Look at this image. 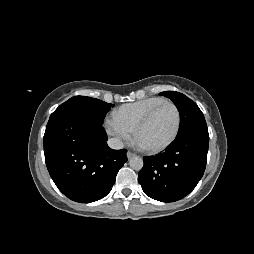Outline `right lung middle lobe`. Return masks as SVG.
Here are the masks:
<instances>
[{
  "mask_svg": "<svg viewBox=\"0 0 254 254\" xmlns=\"http://www.w3.org/2000/svg\"><path fill=\"white\" fill-rule=\"evenodd\" d=\"M113 106V104L106 103L99 99L86 96H74L61 104L51 114L50 118H55L64 114H71L102 125L106 113Z\"/></svg>",
  "mask_w": 254,
  "mask_h": 254,
  "instance_id": "1",
  "label": "right lung middle lobe"
}]
</instances>
